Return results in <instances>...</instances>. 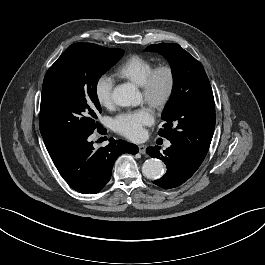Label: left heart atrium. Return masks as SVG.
<instances>
[{
  "label": "left heart atrium",
  "mask_w": 265,
  "mask_h": 265,
  "mask_svg": "<svg viewBox=\"0 0 265 265\" xmlns=\"http://www.w3.org/2000/svg\"><path fill=\"white\" fill-rule=\"evenodd\" d=\"M153 115L148 108L124 112L112 121L113 129L128 139L138 141L145 136L144 127L153 123Z\"/></svg>",
  "instance_id": "obj_1"
}]
</instances>
